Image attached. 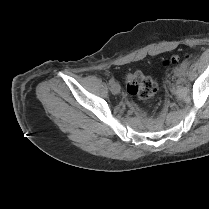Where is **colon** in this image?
I'll return each mask as SVG.
<instances>
[{
	"label": "colon",
	"instance_id": "obj_1",
	"mask_svg": "<svg viewBox=\"0 0 209 209\" xmlns=\"http://www.w3.org/2000/svg\"><path fill=\"white\" fill-rule=\"evenodd\" d=\"M180 61L178 56H172L165 61L166 66L176 65ZM126 90L129 94L141 100L152 98L157 92V82L140 71L130 72L125 78Z\"/></svg>",
	"mask_w": 209,
	"mask_h": 209
}]
</instances>
